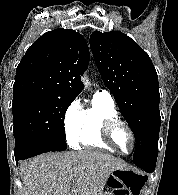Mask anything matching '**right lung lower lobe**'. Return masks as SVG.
<instances>
[{"label":"right lung lower lobe","mask_w":178,"mask_h":195,"mask_svg":"<svg viewBox=\"0 0 178 195\" xmlns=\"http://www.w3.org/2000/svg\"><path fill=\"white\" fill-rule=\"evenodd\" d=\"M66 148V142L58 139L16 140L14 150L15 160L18 164L19 160L27 159L49 151H63L66 150Z\"/></svg>","instance_id":"right-lung-lower-lobe-1"}]
</instances>
